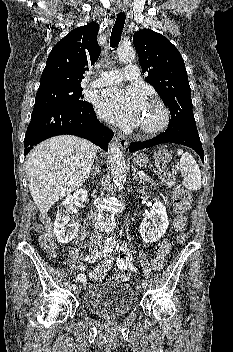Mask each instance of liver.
Masks as SVG:
<instances>
[{"instance_id": "liver-1", "label": "liver", "mask_w": 233, "mask_h": 352, "mask_svg": "<svg viewBox=\"0 0 233 352\" xmlns=\"http://www.w3.org/2000/svg\"><path fill=\"white\" fill-rule=\"evenodd\" d=\"M96 156V146L72 135L52 137L28 155L25 171L29 190L42 216L58 200L84 183Z\"/></svg>"}]
</instances>
